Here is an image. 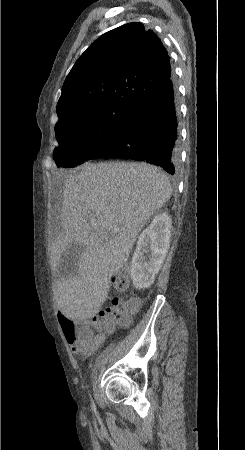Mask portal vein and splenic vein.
I'll return each mask as SVG.
<instances>
[{
  "instance_id": "portal-vein-and-splenic-vein-1",
  "label": "portal vein and splenic vein",
  "mask_w": 245,
  "mask_h": 450,
  "mask_svg": "<svg viewBox=\"0 0 245 450\" xmlns=\"http://www.w3.org/2000/svg\"><path fill=\"white\" fill-rule=\"evenodd\" d=\"M93 228L95 230H99V226H97L96 224H92ZM111 233H118L119 232V228H113L112 230H110Z\"/></svg>"
}]
</instances>
